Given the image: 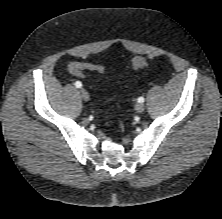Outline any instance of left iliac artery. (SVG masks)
<instances>
[{"label": "left iliac artery", "instance_id": "44dca946", "mask_svg": "<svg viewBox=\"0 0 222 219\" xmlns=\"http://www.w3.org/2000/svg\"><path fill=\"white\" fill-rule=\"evenodd\" d=\"M138 102H139V103H143V102H144V98H143V97H139V98H138Z\"/></svg>", "mask_w": 222, "mask_h": 219}]
</instances>
